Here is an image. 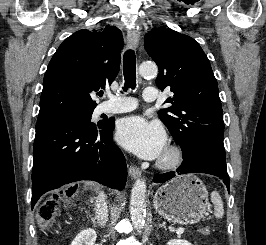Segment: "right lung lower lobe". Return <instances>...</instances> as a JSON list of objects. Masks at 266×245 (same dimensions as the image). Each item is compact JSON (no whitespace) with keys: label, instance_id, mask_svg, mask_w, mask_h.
<instances>
[{"label":"right lung lower lobe","instance_id":"right-lung-lower-lobe-1","mask_svg":"<svg viewBox=\"0 0 266 245\" xmlns=\"http://www.w3.org/2000/svg\"><path fill=\"white\" fill-rule=\"evenodd\" d=\"M113 120L60 118L38 129L34 140L31 207L47 191L79 181L94 180L113 189L125 187L127 167L112 142Z\"/></svg>","mask_w":266,"mask_h":245}]
</instances>
